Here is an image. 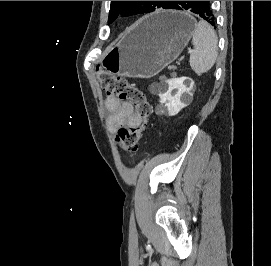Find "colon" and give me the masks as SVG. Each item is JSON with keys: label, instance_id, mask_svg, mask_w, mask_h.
Returning <instances> with one entry per match:
<instances>
[{"label": "colon", "instance_id": "1", "mask_svg": "<svg viewBox=\"0 0 271 266\" xmlns=\"http://www.w3.org/2000/svg\"><path fill=\"white\" fill-rule=\"evenodd\" d=\"M98 81L103 90L111 96L133 104L142 121L137 126H123L118 129L115 141L125 152L137 149L142 138L146 121L151 114V106L143 90L126 79L113 74L106 69L97 71Z\"/></svg>", "mask_w": 271, "mask_h": 266}]
</instances>
